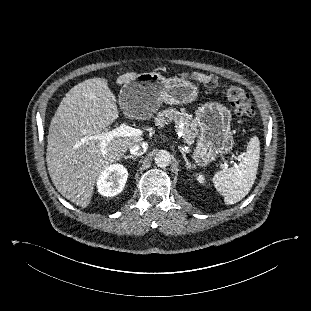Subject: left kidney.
Returning <instances> with one entry per match:
<instances>
[{"label":"left kidney","instance_id":"1","mask_svg":"<svg viewBox=\"0 0 311 311\" xmlns=\"http://www.w3.org/2000/svg\"><path fill=\"white\" fill-rule=\"evenodd\" d=\"M196 179L200 184H204L205 183V177L202 174H197L196 175Z\"/></svg>","mask_w":311,"mask_h":311}]
</instances>
